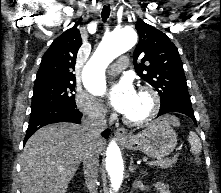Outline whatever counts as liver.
<instances>
[{
  "mask_svg": "<svg viewBox=\"0 0 221 193\" xmlns=\"http://www.w3.org/2000/svg\"><path fill=\"white\" fill-rule=\"evenodd\" d=\"M161 120L169 125H180L173 116ZM85 145L86 132L80 125L58 123L40 128L29 138L21 154L22 193H66ZM97 147L100 153L102 138L97 141Z\"/></svg>",
  "mask_w": 221,
  "mask_h": 193,
  "instance_id": "1",
  "label": "liver"
}]
</instances>
